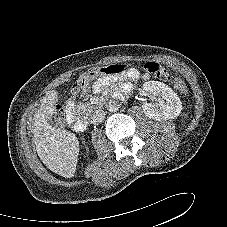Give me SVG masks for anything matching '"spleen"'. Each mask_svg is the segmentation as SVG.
Returning <instances> with one entry per match:
<instances>
[{"instance_id":"1","label":"spleen","mask_w":227,"mask_h":227,"mask_svg":"<svg viewBox=\"0 0 227 227\" xmlns=\"http://www.w3.org/2000/svg\"><path fill=\"white\" fill-rule=\"evenodd\" d=\"M175 88H176V89H180V91H181L182 93H185V92H186V88H185V86L182 84V81L176 82Z\"/></svg>"}]
</instances>
